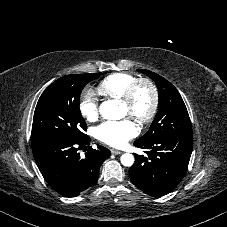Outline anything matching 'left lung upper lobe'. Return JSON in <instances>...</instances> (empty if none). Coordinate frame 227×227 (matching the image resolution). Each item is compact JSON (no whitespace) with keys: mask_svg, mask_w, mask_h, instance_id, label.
<instances>
[{"mask_svg":"<svg viewBox=\"0 0 227 227\" xmlns=\"http://www.w3.org/2000/svg\"><path fill=\"white\" fill-rule=\"evenodd\" d=\"M139 71L155 81L158 88L159 108L148 132L135 142L150 143L166 137L192 135L189 114L177 89L154 72L144 69Z\"/></svg>","mask_w":227,"mask_h":227,"instance_id":"left-lung-upper-lobe-1","label":"left lung upper lobe"}]
</instances>
